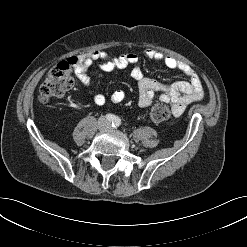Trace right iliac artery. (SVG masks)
<instances>
[{"instance_id": "82829eb1", "label": "right iliac artery", "mask_w": 247, "mask_h": 247, "mask_svg": "<svg viewBox=\"0 0 247 247\" xmlns=\"http://www.w3.org/2000/svg\"><path fill=\"white\" fill-rule=\"evenodd\" d=\"M106 119L113 123L116 118L113 114H107Z\"/></svg>"}]
</instances>
